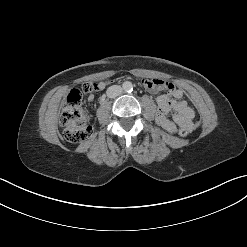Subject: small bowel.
<instances>
[{
    "label": "small bowel",
    "instance_id": "c3829d8e",
    "mask_svg": "<svg viewBox=\"0 0 247 247\" xmlns=\"http://www.w3.org/2000/svg\"><path fill=\"white\" fill-rule=\"evenodd\" d=\"M109 84V81H101L97 83V89H104ZM142 85L150 92L157 93L165 91L156 97L158 105L156 120L157 123L169 133L177 132L179 127L192 130L193 119L195 116L194 110L188 103L182 100L183 91L174 84L161 79H144ZM94 95L88 96V101H92ZM174 111L172 119L167 115Z\"/></svg>",
    "mask_w": 247,
    "mask_h": 247
}]
</instances>
